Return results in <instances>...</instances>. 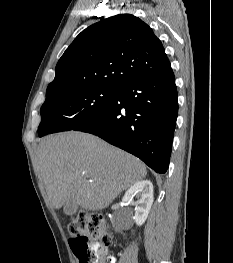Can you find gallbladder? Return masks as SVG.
Listing matches in <instances>:
<instances>
[{
  "mask_svg": "<svg viewBox=\"0 0 233 263\" xmlns=\"http://www.w3.org/2000/svg\"><path fill=\"white\" fill-rule=\"evenodd\" d=\"M78 206L73 197H71L68 202L65 204L63 211L66 215L72 216L77 212Z\"/></svg>",
  "mask_w": 233,
  "mask_h": 263,
  "instance_id": "gallbladder-1",
  "label": "gallbladder"
}]
</instances>
